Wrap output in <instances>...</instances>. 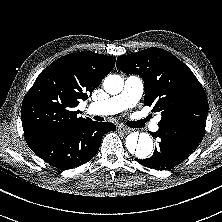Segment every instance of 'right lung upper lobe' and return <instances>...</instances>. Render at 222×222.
<instances>
[{
  "label": "right lung upper lobe",
  "instance_id": "obj_1",
  "mask_svg": "<svg viewBox=\"0 0 222 222\" xmlns=\"http://www.w3.org/2000/svg\"><path fill=\"white\" fill-rule=\"evenodd\" d=\"M115 57L90 51L65 55L37 77L24 97L21 118L24 136L66 131L90 119L77 117L75 107L113 69Z\"/></svg>",
  "mask_w": 222,
  "mask_h": 222
}]
</instances>
